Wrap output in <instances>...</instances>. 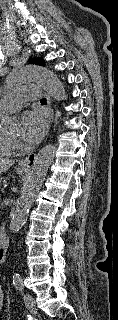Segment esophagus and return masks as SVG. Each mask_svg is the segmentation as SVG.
Masks as SVG:
<instances>
[{"mask_svg": "<svg viewBox=\"0 0 118 320\" xmlns=\"http://www.w3.org/2000/svg\"><path fill=\"white\" fill-rule=\"evenodd\" d=\"M47 104L51 110V118L49 121V123L51 124L53 122L54 112H53V109L51 108V98L48 95H47ZM35 162H36V154H30L20 162V167L23 169H29L34 166Z\"/></svg>", "mask_w": 118, "mask_h": 320, "instance_id": "obj_1", "label": "esophagus"}]
</instances>
